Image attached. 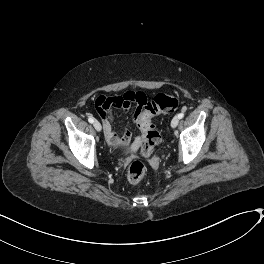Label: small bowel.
<instances>
[{
	"label": "small bowel",
	"instance_id": "obj_1",
	"mask_svg": "<svg viewBox=\"0 0 264 264\" xmlns=\"http://www.w3.org/2000/svg\"><path fill=\"white\" fill-rule=\"evenodd\" d=\"M145 95L140 92L128 91L119 97L99 96L95 100V108L101 119L106 142L111 150L119 151L128 146L131 141L132 133L128 128H123L122 137H119V129L115 126L112 111L119 109L128 111L132 103L136 104V111L133 116V122L139 124L143 116V105L145 103ZM142 138L137 136L131 145L132 150H136L141 146Z\"/></svg>",
	"mask_w": 264,
	"mask_h": 264
}]
</instances>
